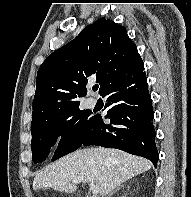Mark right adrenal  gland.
<instances>
[{
  "label": "right adrenal gland",
  "mask_w": 191,
  "mask_h": 197,
  "mask_svg": "<svg viewBox=\"0 0 191 197\" xmlns=\"http://www.w3.org/2000/svg\"><path fill=\"white\" fill-rule=\"evenodd\" d=\"M123 187H124V185L118 186L114 191H112V192L109 194L108 197H111V195H112L113 193L117 192L120 188H123ZM128 189H129V187H128Z\"/></svg>",
  "instance_id": "1"
}]
</instances>
